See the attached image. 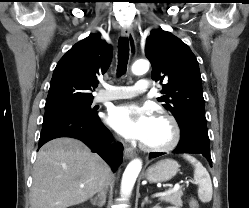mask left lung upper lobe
Returning <instances> with one entry per match:
<instances>
[{
    "instance_id": "obj_1",
    "label": "left lung upper lobe",
    "mask_w": 249,
    "mask_h": 208,
    "mask_svg": "<svg viewBox=\"0 0 249 208\" xmlns=\"http://www.w3.org/2000/svg\"><path fill=\"white\" fill-rule=\"evenodd\" d=\"M145 54L152 79L165 82L162 93L166 95L158 101L178 124L191 117L206 120L199 65L190 48L172 33L157 29L146 39Z\"/></svg>"
}]
</instances>
